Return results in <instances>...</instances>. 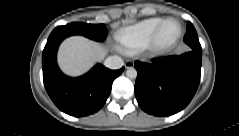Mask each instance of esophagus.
<instances>
[{"mask_svg":"<svg viewBox=\"0 0 239 136\" xmlns=\"http://www.w3.org/2000/svg\"><path fill=\"white\" fill-rule=\"evenodd\" d=\"M132 66H134V63H133L132 61H127V62L125 63V68H130V67H132Z\"/></svg>","mask_w":239,"mask_h":136,"instance_id":"obj_1","label":"esophagus"}]
</instances>
